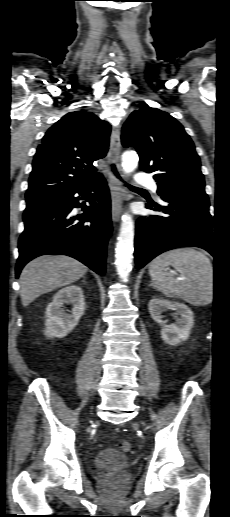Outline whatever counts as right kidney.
<instances>
[{
	"instance_id": "obj_1",
	"label": "right kidney",
	"mask_w": 230,
	"mask_h": 517,
	"mask_svg": "<svg viewBox=\"0 0 230 517\" xmlns=\"http://www.w3.org/2000/svg\"><path fill=\"white\" fill-rule=\"evenodd\" d=\"M72 304L70 313L65 311L64 304ZM85 311L83 290L71 285L59 290L46 308L45 335L49 338H63L78 324Z\"/></svg>"
}]
</instances>
